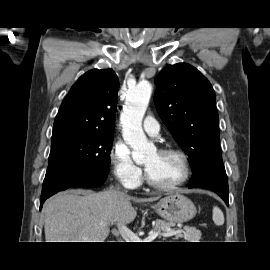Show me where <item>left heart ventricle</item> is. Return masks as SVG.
<instances>
[{"instance_id": "obj_1", "label": "left heart ventricle", "mask_w": 270, "mask_h": 270, "mask_svg": "<svg viewBox=\"0 0 270 270\" xmlns=\"http://www.w3.org/2000/svg\"><path fill=\"white\" fill-rule=\"evenodd\" d=\"M143 165L149 177L158 184H171L183 174L181 161L173 154L155 151L144 160Z\"/></svg>"}]
</instances>
